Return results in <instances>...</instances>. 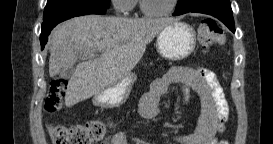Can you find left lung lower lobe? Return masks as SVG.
<instances>
[{"mask_svg": "<svg viewBox=\"0 0 273 144\" xmlns=\"http://www.w3.org/2000/svg\"><path fill=\"white\" fill-rule=\"evenodd\" d=\"M188 12L212 15L222 21L232 32H235L234 19L229 0H191L181 10H175L174 16Z\"/></svg>", "mask_w": 273, "mask_h": 144, "instance_id": "1", "label": "left lung lower lobe"}]
</instances>
